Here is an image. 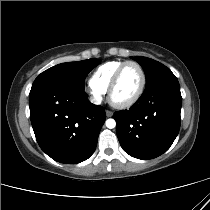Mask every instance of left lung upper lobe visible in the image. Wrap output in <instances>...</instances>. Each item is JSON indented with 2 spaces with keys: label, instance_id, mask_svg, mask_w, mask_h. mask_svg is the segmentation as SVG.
Wrapping results in <instances>:
<instances>
[{
  "label": "left lung upper lobe",
  "instance_id": "obj_1",
  "mask_svg": "<svg viewBox=\"0 0 210 210\" xmlns=\"http://www.w3.org/2000/svg\"><path fill=\"white\" fill-rule=\"evenodd\" d=\"M143 68L146 75V86L151 85L159 79L174 75L169 68L158 61L147 57H133Z\"/></svg>",
  "mask_w": 210,
  "mask_h": 210
}]
</instances>
